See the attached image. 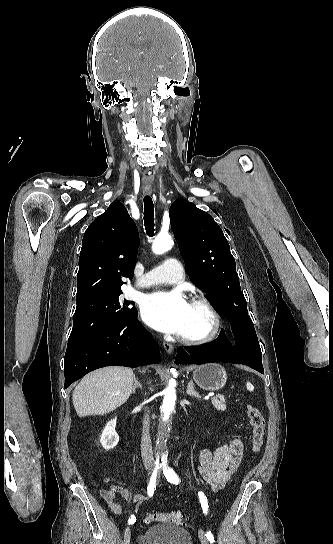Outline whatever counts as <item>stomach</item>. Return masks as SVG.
<instances>
[{"instance_id":"obj_1","label":"stomach","mask_w":333,"mask_h":544,"mask_svg":"<svg viewBox=\"0 0 333 544\" xmlns=\"http://www.w3.org/2000/svg\"><path fill=\"white\" fill-rule=\"evenodd\" d=\"M193 379L202 389L217 391L225 386L227 374L220 364L206 363L194 370Z\"/></svg>"}]
</instances>
